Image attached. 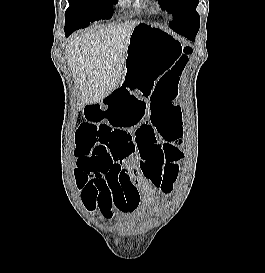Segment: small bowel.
Returning a JSON list of instances; mask_svg holds the SVG:
<instances>
[{
  "label": "small bowel",
  "mask_w": 265,
  "mask_h": 273,
  "mask_svg": "<svg viewBox=\"0 0 265 273\" xmlns=\"http://www.w3.org/2000/svg\"><path fill=\"white\" fill-rule=\"evenodd\" d=\"M145 103L142 95H133V91H112L102 103H86L91 109H86L84 119L97 124H75V129H111L114 134L106 150L107 169L92 173L91 180L99 181L96 192L84 195L86 210H99L107 220L132 213L142 201L150 204L154 198L152 173L165 164L164 140L149 122L142 123ZM139 189L145 192L144 200Z\"/></svg>",
  "instance_id": "small-bowel-1"
}]
</instances>
